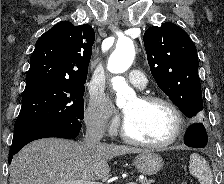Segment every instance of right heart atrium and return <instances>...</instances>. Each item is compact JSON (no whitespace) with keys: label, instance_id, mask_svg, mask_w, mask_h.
Instances as JSON below:
<instances>
[{"label":"right heart atrium","instance_id":"obj_1","mask_svg":"<svg viewBox=\"0 0 224 184\" xmlns=\"http://www.w3.org/2000/svg\"><path fill=\"white\" fill-rule=\"evenodd\" d=\"M84 121L89 129L98 133L110 132L117 127V119L112 117L109 101L103 92L91 93L84 112Z\"/></svg>","mask_w":224,"mask_h":184}]
</instances>
